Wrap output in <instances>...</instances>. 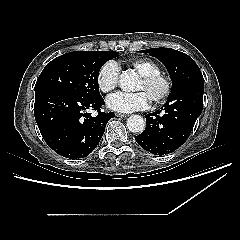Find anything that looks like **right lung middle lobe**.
<instances>
[{
    "instance_id": "right-lung-middle-lobe-1",
    "label": "right lung middle lobe",
    "mask_w": 240,
    "mask_h": 240,
    "mask_svg": "<svg viewBox=\"0 0 240 240\" xmlns=\"http://www.w3.org/2000/svg\"><path fill=\"white\" fill-rule=\"evenodd\" d=\"M114 51H75L49 62L35 84V92L59 90L83 98L100 97L98 74Z\"/></svg>"
}]
</instances>
